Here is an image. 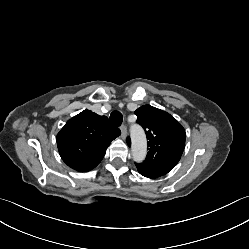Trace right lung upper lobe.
Instances as JSON below:
<instances>
[{
  "label": "right lung upper lobe",
  "instance_id": "right-lung-upper-lobe-1",
  "mask_svg": "<svg viewBox=\"0 0 249 249\" xmlns=\"http://www.w3.org/2000/svg\"><path fill=\"white\" fill-rule=\"evenodd\" d=\"M120 134L106 116L84 110L58 133L59 154L69 167L87 172L100 163L111 141Z\"/></svg>",
  "mask_w": 249,
  "mask_h": 249
}]
</instances>
